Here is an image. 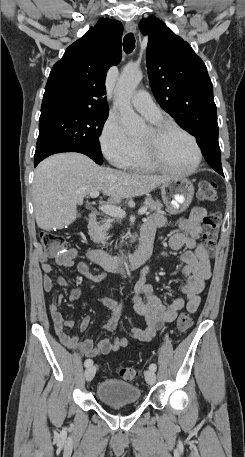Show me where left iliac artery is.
<instances>
[{
  "label": "left iliac artery",
  "mask_w": 245,
  "mask_h": 457,
  "mask_svg": "<svg viewBox=\"0 0 245 457\" xmlns=\"http://www.w3.org/2000/svg\"><path fill=\"white\" fill-rule=\"evenodd\" d=\"M149 369L152 370V371H156L157 370V365L155 363H151L150 366H149Z\"/></svg>",
  "instance_id": "left-iliac-artery-1"
}]
</instances>
